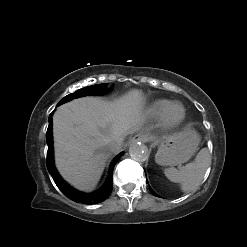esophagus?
Returning a JSON list of instances; mask_svg holds the SVG:
<instances>
[{
  "label": "esophagus",
  "instance_id": "obj_1",
  "mask_svg": "<svg viewBox=\"0 0 247 247\" xmlns=\"http://www.w3.org/2000/svg\"><path fill=\"white\" fill-rule=\"evenodd\" d=\"M150 140V137L146 134H138V135H135L133 138H132V142H148Z\"/></svg>",
  "mask_w": 247,
  "mask_h": 247
}]
</instances>
